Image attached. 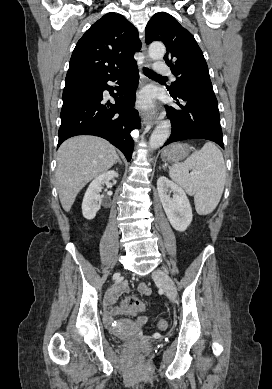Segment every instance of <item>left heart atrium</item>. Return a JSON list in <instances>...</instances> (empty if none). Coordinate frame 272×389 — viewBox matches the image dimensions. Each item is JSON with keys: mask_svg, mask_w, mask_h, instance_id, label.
<instances>
[{"mask_svg": "<svg viewBox=\"0 0 272 389\" xmlns=\"http://www.w3.org/2000/svg\"><path fill=\"white\" fill-rule=\"evenodd\" d=\"M152 95L149 92H145L140 97V104L148 106L151 103Z\"/></svg>", "mask_w": 272, "mask_h": 389, "instance_id": "obj_1", "label": "left heart atrium"}]
</instances>
